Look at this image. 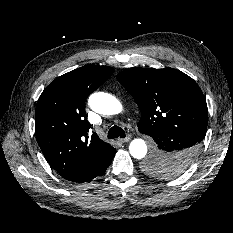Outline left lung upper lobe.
Segmentation results:
<instances>
[{
	"label": "left lung upper lobe",
	"mask_w": 233,
	"mask_h": 233,
	"mask_svg": "<svg viewBox=\"0 0 233 233\" xmlns=\"http://www.w3.org/2000/svg\"><path fill=\"white\" fill-rule=\"evenodd\" d=\"M117 80L141 111V133L151 136L157 131L182 132L195 138L199 151L207 131L208 109L192 78L173 68H131L119 73ZM143 168L154 176L185 171L159 152H153Z\"/></svg>",
	"instance_id": "left-lung-upper-lobe-1"
}]
</instances>
